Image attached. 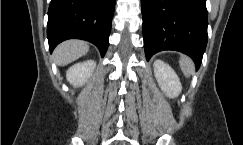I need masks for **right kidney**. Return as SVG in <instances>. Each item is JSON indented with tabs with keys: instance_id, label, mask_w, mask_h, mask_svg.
<instances>
[{
	"instance_id": "ca27d5eb",
	"label": "right kidney",
	"mask_w": 243,
	"mask_h": 145,
	"mask_svg": "<svg viewBox=\"0 0 243 145\" xmlns=\"http://www.w3.org/2000/svg\"><path fill=\"white\" fill-rule=\"evenodd\" d=\"M95 67L96 62L93 60L76 63L68 69L67 81L73 86H82L90 78Z\"/></svg>"
}]
</instances>
